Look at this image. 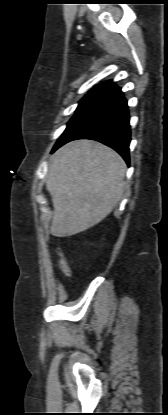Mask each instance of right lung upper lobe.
I'll return each mask as SVG.
<instances>
[{"label":"right lung upper lobe","instance_id":"cb5924a9","mask_svg":"<svg viewBox=\"0 0 168 415\" xmlns=\"http://www.w3.org/2000/svg\"><path fill=\"white\" fill-rule=\"evenodd\" d=\"M114 83L112 81H105L100 83L99 85L92 88L87 94H94V95H101L103 92H105L107 89L112 87Z\"/></svg>","mask_w":168,"mask_h":415}]
</instances>
